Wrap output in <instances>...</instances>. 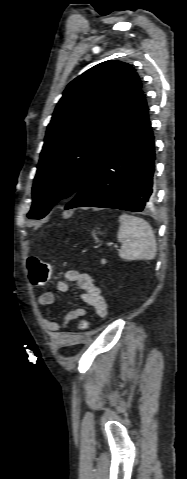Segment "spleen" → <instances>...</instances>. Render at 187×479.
Listing matches in <instances>:
<instances>
[{"mask_svg":"<svg viewBox=\"0 0 187 479\" xmlns=\"http://www.w3.org/2000/svg\"><path fill=\"white\" fill-rule=\"evenodd\" d=\"M117 238L122 243L119 256L124 260L150 261L156 257L157 243L154 231L143 218L122 214Z\"/></svg>","mask_w":187,"mask_h":479,"instance_id":"3e777b00","label":"spleen"}]
</instances>
